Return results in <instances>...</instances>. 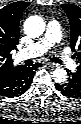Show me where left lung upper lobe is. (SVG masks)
<instances>
[{
    "mask_svg": "<svg viewBox=\"0 0 81 124\" xmlns=\"http://www.w3.org/2000/svg\"><path fill=\"white\" fill-rule=\"evenodd\" d=\"M61 7L69 18L71 29L70 46L72 51L75 52L73 58L80 64L77 71L81 72V7L74 4H62Z\"/></svg>",
    "mask_w": 81,
    "mask_h": 124,
    "instance_id": "obj_1",
    "label": "left lung upper lobe"
}]
</instances>
